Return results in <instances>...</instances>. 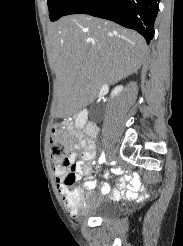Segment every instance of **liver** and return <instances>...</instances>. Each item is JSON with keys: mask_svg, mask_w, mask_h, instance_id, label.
Returning a JSON list of instances; mask_svg holds the SVG:
<instances>
[{"mask_svg": "<svg viewBox=\"0 0 183 246\" xmlns=\"http://www.w3.org/2000/svg\"><path fill=\"white\" fill-rule=\"evenodd\" d=\"M61 116H71L100 87L137 73L145 39L115 23L88 15L63 17L48 29Z\"/></svg>", "mask_w": 183, "mask_h": 246, "instance_id": "liver-1", "label": "liver"}]
</instances>
